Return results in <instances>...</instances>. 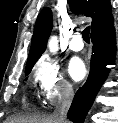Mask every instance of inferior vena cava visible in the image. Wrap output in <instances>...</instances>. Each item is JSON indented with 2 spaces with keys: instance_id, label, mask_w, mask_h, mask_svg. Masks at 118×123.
<instances>
[{
  "instance_id": "obj_1",
  "label": "inferior vena cava",
  "mask_w": 118,
  "mask_h": 123,
  "mask_svg": "<svg viewBox=\"0 0 118 123\" xmlns=\"http://www.w3.org/2000/svg\"><path fill=\"white\" fill-rule=\"evenodd\" d=\"M73 99V88L70 84H64L60 88L58 102L53 112V117L59 123H67L66 115Z\"/></svg>"
}]
</instances>
